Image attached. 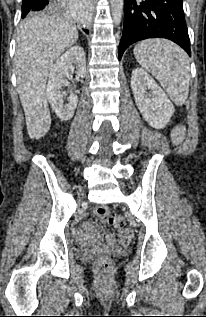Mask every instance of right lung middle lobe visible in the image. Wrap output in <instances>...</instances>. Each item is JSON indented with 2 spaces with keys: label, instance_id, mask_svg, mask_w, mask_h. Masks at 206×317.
Returning a JSON list of instances; mask_svg holds the SVG:
<instances>
[{
  "label": "right lung middle lobe",
  "instance_id": "1",
  "mask_svg": "<svg viewBox=\"0 0 206 317\" xmlns=\"http://www.w3.org/2000/svg\"><path fill=\"white\" fill-rule=\"evenodd\" d=\"M66 0H55V3H54V9L51 10V11H54V10H60L62 9V7L64 6ZM29 6H27L26 4H22V18H29V17H34L38 14H41V12H31L29 10Z\"/></svg>",
  "mask_w": 206,
  "mask_h": 317
}]
</instances>
